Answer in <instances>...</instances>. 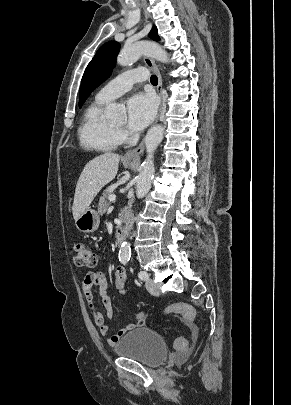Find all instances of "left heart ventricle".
<instances>
[{
	"label": "left heart ventricle",
	"mask_w": 291,
	"mask_h": 405,
	"mask_svg": "<svg viewBox=\"0 0 291 405\" xmlns=\"http://www.w3.org/2000/svg\"><path fill=\"white\" fill-rule=\"evenodd\" d=\"M121 125H122V122H120V123L117 124V126H121Z\"/></svg>",
	"instance_id": "obj_1"
}]
</instances>
